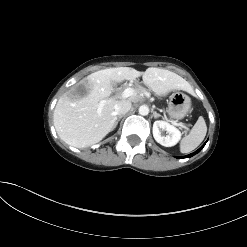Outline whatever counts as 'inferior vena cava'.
Masks as SVG:
<instances>
[{"label":"inferior vena cava","mask_w":247,"mask_h":247,"mask_svg":"<svg viewBox=\"0 0 247 247\" xmlns=\"http://www.w3.org/2000/svg\"><path fill=\"white\" fill-rule=\"evenodd\" d=\"M131 109V102L128 100H121L115 106V114L124 115Z\"/></svg>","instance_id":"602c4592"}]
</instances>
